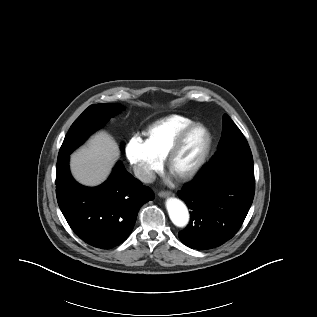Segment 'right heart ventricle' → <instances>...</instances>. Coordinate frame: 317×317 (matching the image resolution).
<instances>
[{
    "label": "right heart ventricle",
    "instance_id": "right-heart-ventricle-1",
    "mask_svg": "<svg viewBox=\"0 0 317 317\" xmlns=\"http://www.w3.org/2000/svg\"><path fill=\"white\" fill-rule=\"evenodd\" d=\"M193 121L187 117L171 115L150 125L144 132L145 143L160 159H164L178 134Z\"/></svg>",
    "mask_w": 317,
    "mask_h": 317
}]
</instances>
